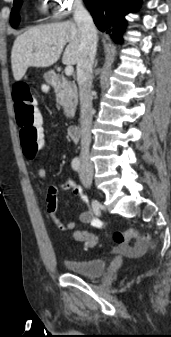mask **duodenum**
Wrapping results in <instances>:
<instances>
[{
    "instance_id": "410a0bca",
    "label": "duodenum",
    "mask_w": 171,
    "mask_h": 337,
    "mask_svg": "<svg viewBox=\"0 0 171 337\" xmlns=\"http://www.w3.org/2000/svg\"><path fill=\"white\" fill-rule=\"evenodd\" d=\"M49 78L51 80V83L58 87L60 85V80L58 78V76L56 75V73L54 72H50L49 73ZM68 134L69 136L75 140V141H79L80 140V126L77 124H71L68 126Z\"/></svg>"
}]
</instances>
